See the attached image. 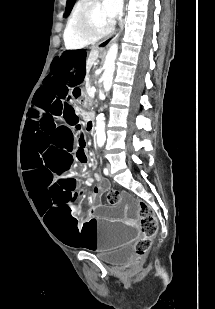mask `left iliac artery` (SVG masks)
Masks as SVG:
<instances>
[{
  "instance_id": "1",
  "label": "left iliac artery",
  "mask_w": 215,
  "mask_h": 309,
  "mask_svg": "<svg viewBox=\"0 0 215 309\" xmlns=\"http://www.w3.org/2000/svg\"><path fill=\"white\" fill-rule=\"evenodd\" d=\"M103 172H104L105 175H108V169L107 168H104Z\"/></svg>"
}]
</instances>
